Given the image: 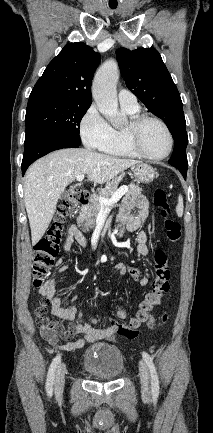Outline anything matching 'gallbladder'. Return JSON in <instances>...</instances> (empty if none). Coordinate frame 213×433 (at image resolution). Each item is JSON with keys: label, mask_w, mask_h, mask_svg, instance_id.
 Returning a JSON list of instances; mask_svg holds the SVG:
<instances>
[{"label": "gallbladder", "mask_w": 213, "mask_h": 433, "mask_svg": "<svg viewBox=\"0 0 213 433\" xmlns=\"http://www.w3.org/2000/svg\"><path fill=\"white\" fill-rule=\"evenodd\" d=\"M67 196H68V192L65 191V192H63V193L61 194V199H64V198H66Z\"/></svg>", "instance_id": "1"}]
</instances>
